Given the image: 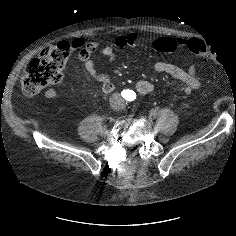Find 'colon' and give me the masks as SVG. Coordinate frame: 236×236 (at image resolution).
<instances>
[{"instance_id":"1","label":"colon","mask_w":236,"mask_h":236,"mask_svg":"<svg viewBox=\"0 0 236 236\" xmlns=\"http://www.w3.org/2000/svg\"><path fill=\"white\" fill-rule=\"evenodd\" d=\"M188 47L194 54L202 55L205 58L211 57L217 60L222 55L219 48H211L198 39H191ZM155 48L159 52L166 53L174 51L177 46L173 39L159 38L155 42ZM71 52V45L65 41L44 48L38 58H34L28 63L20 78L23 93L33 96L46 87L60 82Z\"/></svg>"}]
</instances>
